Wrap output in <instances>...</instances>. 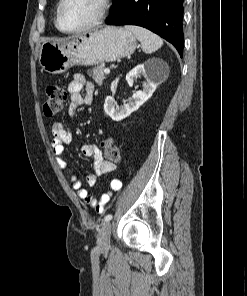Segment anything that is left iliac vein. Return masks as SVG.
I'll return each mask as SVG.
<instances>
[{"instance_id":"1","label":"left iliac vein","mask_w":247,"mask_h":296,"mask_svg":"<svg viewBox=\"0 0 247 296\" xmlns=\"http://www.w3.org/2000/svg\"><path fill=\"white\" fill-rule=\"evenodd\" d=\"M112 224L106 222L99 231L98 235V247L101 250H108L110 247V235H111Z\"/></svg>"}]
</instances>
